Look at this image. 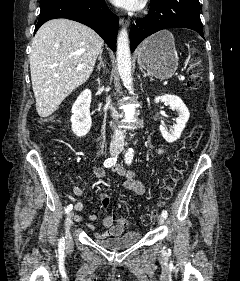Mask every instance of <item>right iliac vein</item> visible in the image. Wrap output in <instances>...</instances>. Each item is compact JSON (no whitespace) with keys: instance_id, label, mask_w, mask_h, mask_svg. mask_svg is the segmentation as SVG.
<instances>
[{"instance_id":"right-iliac-vein-1","label":"right iliac vein","mask_w":240,"mask_h":281,"mask_svg":"<svg viewBox=\"0 0 240 281\" xmlns=\"http://www.w3.org/2000/svg\"><path fill=\"white\" fill-rule=\"evenodd\" d=\"M119 148L116 146L110 147V153L111 155H115L118 153ZM73 217H74V212L71 211L67 214L66 217V222H65V239H66V245L67 247H71L73 244V240L70 234V226L73 223Z\"/></svg>"}]
</instances>
